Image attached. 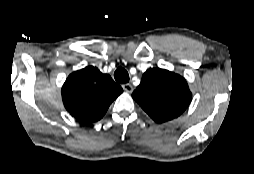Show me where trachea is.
Returning a JSON list of instances; mask_svg holds the SVG:
<instances>
[{
  "label": "trachea",
  "mask_w": 254,
  "mask_h": 174,
  "mask_svg": "<svg viewBox=\"0 0 254 174\" xmlns=\"http://www.w3.org/2000/svg\"><path fill=\"white\" fill-rule=\"evenodd\" d=\"M114 78L118 83H127L129 82V74L128 72L119 67L116 69V71L114 72Z\"/></svg>",
  "instance_id": "obj_1"
}]
</instances>
